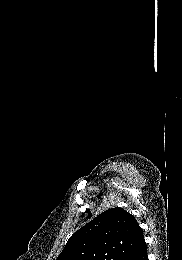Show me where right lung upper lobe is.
<instances>
[{"instance_id": "cb5924a9", "label": "right lung upper lobe", "mask_w": 182, "mask_h": 260, "mask_svg": "<svg viewBox=\"0 0 182 260\" xmlns=\"http://www.w3.org/2000/svg\"><path fill=\"white\" fill-rule=\"evenodd\" d=\"M145 244L135 217L116 207L76 231L57 260H127Z\"/></svg>"}]
</instances>
